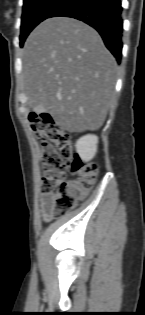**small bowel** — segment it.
Segmentation results:
<instances>
[{"label":"small bowel","mask_w":145,"mask_h":315,"mask_svg":"<svg viewBox=\"0 0 145 315\" xmlns=\"http://www.w3.org/2000/svg\"><path fill=\"white\" fill-rule=\"evenodd\" d=\"M53 199V195H44L42 194L40 196V205H41V211H42V216L43 219L46 221H50L54 217V212L52 208L51 201Z\"/></svg>","instance_id":"obj_1"}]
</instances>
